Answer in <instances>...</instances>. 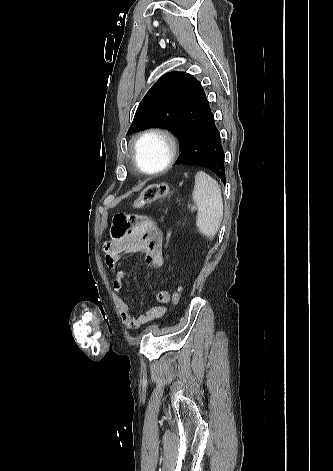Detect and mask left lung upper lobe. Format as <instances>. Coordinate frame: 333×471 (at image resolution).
Listing matches in <instances>:
<instances>
[{
  "label": "left lung upper lobe",
  "instance_id": "obj_1",
  "mask_svg": "<svg viewBox=\"0 0 333 471\" xmlns=\"http://www.w3.org/2000/svg\"><path fill=\"white\" fill-rule=\"evenodd\" d=\"M209 103L201 83L186 72L163 75L140 102L127 135L164 127L178 136L181 150Z\"/></svg>",
  "mask_w": 333,
  "mask_h": 471
}]
</instances>
